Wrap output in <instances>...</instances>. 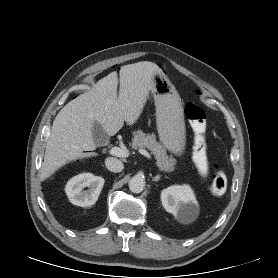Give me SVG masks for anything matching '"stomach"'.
<instances>
[{
	"instance_id": "1",
	"label": "stomach",
	"mask_w": 278,
	"mask_h": 278,
	"mask_svg": "<svg viewBox=\"0 0 278 278\" xmlns=\"http://www.w3.org/2000/svg\"><path fill=\"white\" fill-rule=\"evenodd\" d=\"M156 123L160 141L166 149L180 156L185 152L186 129L183 108L175 86L167 76L156 72L152 76Z\"/></svg>"
}]
</instances>
